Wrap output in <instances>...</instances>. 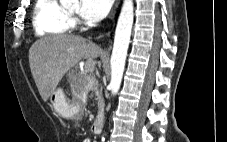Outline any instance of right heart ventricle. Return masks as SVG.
Wrapping results in <instances>:
<instances>
[{
	"label": "right heart ventricle",
	"instance_id": "e07e8e85",
	"mask_svg": "<svg viewBox=\"0 0 227 142\" xmlns=\"http://www.w3.org/2000/svg\"><path fill=\"white\" fill-rule=\"evenodd\" d=\"M32 24L36 35L58 36L69 33L73 23L58 0H36Z\"/></svg>",
	"mask_w": 227,
	"mask_h": 142
}]
</instances>
